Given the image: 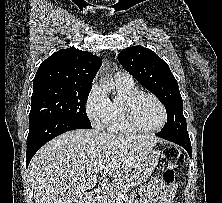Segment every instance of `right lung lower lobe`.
<instances>
[{
	"label": "right lung lower lobe",
	"instance_id": "98d812e1",
	"mask_svg": "<svg viewBox=\"0 0 222 203\" xmlns=\"http://www.w3.org/2000/svg\"><path fill=\"white\" fill-rule=\"evenodd\" d=\"M91 123L68 119H44L30 124L27 137V166L34 154L54 137L75 129H90Z\"/></svg>",
	"mask_w": 222,
	"mask_h": 203
}]
</instances>
